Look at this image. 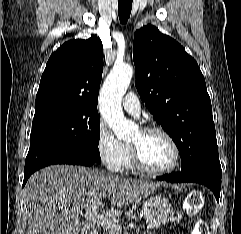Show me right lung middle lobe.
<instances>
[{"instance_id": "1", "label": "right lung middle lobe", "mask_w": 241, "mask_h": 234, "mask_svg": "<svg viewBox=\"0 0 241 234\" xmlns=\"http://www.w3.org/2000/svg\"><path fill=\"white\" fill-rule=\"evenodd\" d=\"M99 130L97 108L62 103L35 106L30 147L50 142L65 143L99 163Z\"/></svg>"}]
</instances>
